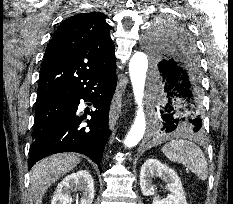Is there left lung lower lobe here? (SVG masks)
Wrapping results in <instances>:
<instances>
[{
  "label": "left lung lower lobe",
  "instance_id": "left-lung-lower-lobe-1",
  "mask_svg": "<svg viewBox=\"0 0 233 204\" xmlns=\"http://www.w3.org/2000/svg\"><path fill=\"white\" fill-rule=\"evenodd\" d=\"M199 71L194 61L175 49L154 66L153 89L158 98L155 134L202 131V104Z\"/></svg>",
  "mask_w": 233,
  "mask_h": 204
}]
</instances>
